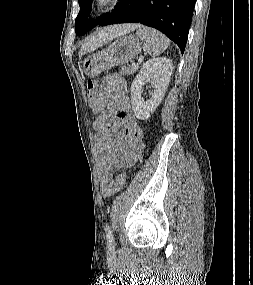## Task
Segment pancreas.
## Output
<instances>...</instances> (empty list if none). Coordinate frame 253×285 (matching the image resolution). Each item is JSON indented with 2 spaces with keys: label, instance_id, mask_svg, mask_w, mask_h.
<instances>
[{
  "label": "pancreas",
  "instance_id": "cf45deb5",
  "mask_svg": "<svg viewBox=\"0 0 253 285\" xmlns=\"http://www.w3.org/2000/svg\"><path fill=\"white\" fill-rule=\"evenodd\" d=\"M138 70L137 65H131V66H124L122 67L120 73L123 75H131L134 74Z\"/></svg>",
  "mask_w": 253,
  "mask_h": 285
}]
</instances>
